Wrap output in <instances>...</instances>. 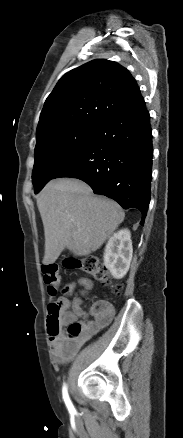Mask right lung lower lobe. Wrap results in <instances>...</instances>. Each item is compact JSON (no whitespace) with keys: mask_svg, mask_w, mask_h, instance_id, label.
<instances>
[{"mask_svg":"<svg viewBox=\"0 0 183 438\" xmlns=\"http://www.w3.org/2000/svg\"><path fill=\"white\" fill-rule=\"evenodd\" d=\"M152 156L150 116L143 100L99 123L89 143L54 178L80 179L124 209H139L143 225L150 202Z\"/></svg>","mask_w":183,"mask_h":438,"instance_id":"98d812e1","label":"right lung lower lobe"}]
</instances>
